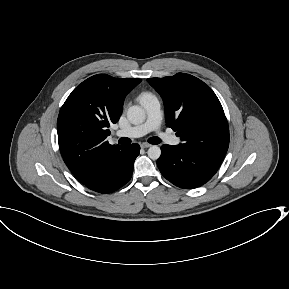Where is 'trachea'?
<instances>
[{
	"instance_id": "3493384b",
	"label": "trachea",
	"mask_w": 289,
	"mask_h": 289,
	"mask_svg": "<svg viewBox=\"0 0 289 289\" xmlns=\"http://www.w3.org/2000/svg\"><path fill=\"white\" fill-rule=\"evenodd\" d=\"M130 142H131V140L129 138H125V137L120 138L118 140L119 144H129ZM148 142L151 144H159L161 142V140L158 137H151V138H149Z\"/></svg>"
}]
</instances>
